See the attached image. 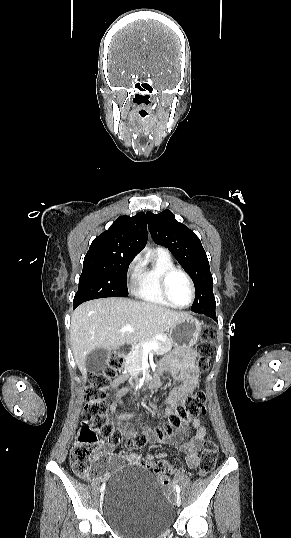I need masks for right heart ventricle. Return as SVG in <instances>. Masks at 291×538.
<instances>
[{
  "mask_svg": "<svg viewBox=\"0 0 291 538\" xmlns=\"http://www.w3.org/2000/svg\"><path fill=\"white\" fill-rule=\"evenodd\" d=\"M175 267L171 254L162 248H157L149 253L148 261L142 262L141 269L136 281V296L148 303L171 306L163 297L160 288L162 274Z\"/></svg>",
  "mask_w": 291,
  "mask_h": 538,
  "instance_id": "e07e8e85",
  "label": "right heart ventricle"
}]
</instances>
